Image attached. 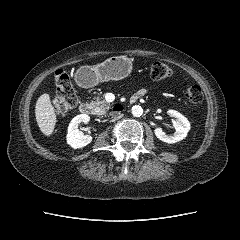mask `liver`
<instances>
[{
	"label": "liver",
	"mask_w": 240,
	"mask_h": 240,
	"mask_svg": "<svg viewBox=\"0 0 240 240\" xmlns=\"http://www.w3.org/2000/svg\"><path fill=\"white\" fill-rule=\"evenodd\" d=\"M35 117L41 132L46 136H51L57 118L49 94L44 93L38 98L35 105Z\"/></svg>",
	"instance_id": "obj_1"
}]
</instances>
